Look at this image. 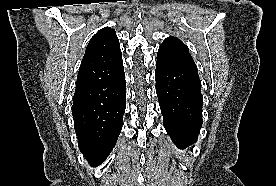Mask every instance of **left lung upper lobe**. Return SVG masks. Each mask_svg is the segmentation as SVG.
<instances>
[{
	"label": "left lung upper lobe",
	"mask_w": 276,
	"mask_h": 186,
	"mask_svg": "<svg viewBox=\"0 0 276 186\" xmlns=\"http://www.w3.org/2000/svg\"><path fill=\"white\" fill-rule=\"evenodd\" d=\"M157 61L197 71L188 47L178 38L170 36L160 45Z\"/></svg>",
	"instance_id": "obj_1"
}]
</instances>
